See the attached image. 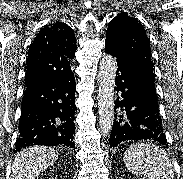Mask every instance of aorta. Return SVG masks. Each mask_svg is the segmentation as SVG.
<instances>
[{
  "label": "aorta",
  "instance_id": "obj_1",
  "mask_svg": "<svg viewBox=\"0 0 183 179\" xmlns=\"http://www.w3.org/2000/svg\"><path fill=\"white\" fill-rule=\"evenodd\" d=\"M117 63L111 55H106L99 66L98 113L102 135L108 136L114 123V86Z\"/></svg>",
  "mask_w": 183,
  "mask_h": 179
}]
</instances>
